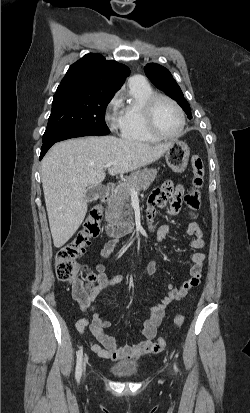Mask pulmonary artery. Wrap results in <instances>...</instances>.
Returning a JSON list of instances; mask_svg holds the SVG:
<instances>
[{
	"label": "pulmonary artery",
	"instance_id": "e3ab8cb5",
	"mask_svg": "<svg viewBox=\"0 0 250 413\" xmlns=\"http://www.w3.org/2000/svg\"><path fill=\"white\" fill-rule=\"evenodd\" d=\"M141 80H144V79L140 76H134L131 78V81H141Z\"/></svg>",
	"mask_w": 250,
	"mask_h": 413
}]
</instances>
